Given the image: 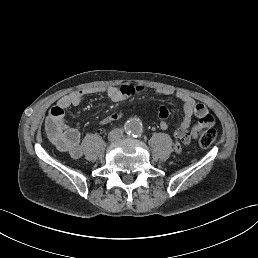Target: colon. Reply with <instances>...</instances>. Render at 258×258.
<instances>
[{
	"instance_id": "1",
	"label": "colon",
	"mask_w": 258,
	"mask_h": 258,
	"mask_svg": "<svg viewBox=\"0 0 258 258\" xmlns=\"http://www.w3.org/2000/svg\"><path fill=\"white\" fill-rule=\"evenodd\" d=\"M217 138V132L215 129H208L204 131L199 137V144L203 148H209L214 144Z\"/></svg>"
}]
</instances>
